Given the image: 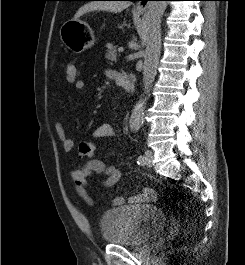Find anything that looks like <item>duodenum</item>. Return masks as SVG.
<instances>
[{
    "label": "duodenum",
    "mask_w": 245,
    "mask_h": 265,
    "mask_svg": "<svg viewBox=\"0 0 245 265\" xmlns=\"http://www.w3.org/2000/svg\"><path fill=\"white\" fill-rule=\"evenodd\" d=\"M115 83L125 90L132 92L134 90L135 77L130 73L116 72L114 76Z\"/></svg>",
    "instance_id": "410a0bca"
}]
</instances>
